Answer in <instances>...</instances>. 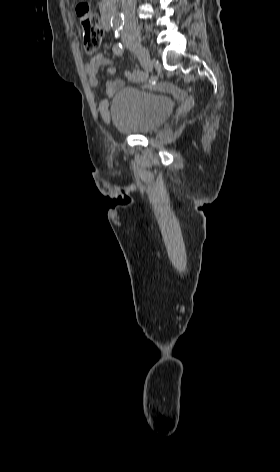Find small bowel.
<instances>
[{
    "label": "small bowel",
    "instance_id": "small-bowel-1",
    "mask_svg": "<svg viewBox=\"0 0 280 472\" xmlns=\"http://www.w3.org/2000/svg\"><path fill=\"white\" fill-rule=\"evenodd\" d=\"M106 67L109 75H114L116 73V67L113 65L112 61L104 56L103 54H96L84 65V70L88 75V83L91 88H96L98 86L97 73L99 68ZM128 79L131 81H137L133 72L128 73ZM123 86V81L120 79H111L105 83V93L107 97H113V95ZM159 88L164 91H175L174 87L167 83H161ZM99 113L104 119L109 117V102L107 99H102L98 106Z\"/></svg>",
    "mask_w": 280,
    "mask_h": 472
}]
</instances>
